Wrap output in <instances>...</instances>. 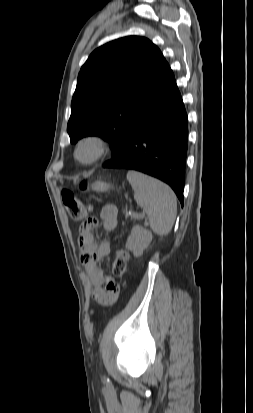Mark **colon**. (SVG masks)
Masks as SVG:
<instances>
[{
    "instance_id": "5ec220e1",
    "label": "colon",
    "mask_w": 253,
    "mask_h": 413,
    "mask_svg": "<svg viewBox=\"0 0 253 413\" xmlns=\"http://www.w3.org/2000/svg\"><path fill=\"white\" fill-rule=\"evenodd\" d=\"M81 188L85 189L86 183H82ZM62 200L67 212L74 220L86 219L92 210L91 205L84 203L70 190L62 191ZM129 260V252L125 249H119L112 263V273H116L118 277L122 276L127 269Z\"/></svg>"
}]
</instances>
